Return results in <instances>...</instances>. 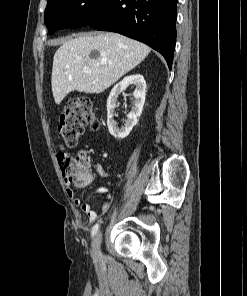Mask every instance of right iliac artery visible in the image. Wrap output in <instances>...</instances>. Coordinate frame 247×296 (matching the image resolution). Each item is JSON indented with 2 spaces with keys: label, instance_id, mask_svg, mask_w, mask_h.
<instances>
[{
  "label": "right iliac artery",
  "instance_id": "right-iliac-artery-1",
  "mask_svg": "<svg viewBox=\"0 0 247 296\" xmlns=\"http://www.w3.org/2000/svg\"><path fill=\"white\" fill-rule=\"evenodd\" d=\"M98 228H99V224L96 223L92 228V236L96 235Z\"/></svg>",
  "mask_w": 247,
  "mask_h": 296
}]
</instances>
